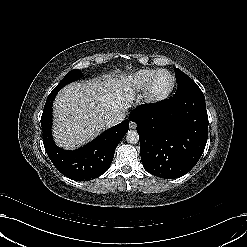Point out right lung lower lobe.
<instances>
[{
	"label": "right lung lower lobe",
	"instance_id": "right-lung-lower-lobe-1",
	"mask_svg": "<svg viewBox=\"0 0 247 247\" xmlns=\"http://www.w3.org/2000/svg\"><path fill=\"white\" fill-rule=\"evenodd\" d=\"M58 91L47 97L41 117L43 144L54 166L66 177L77 181H89L104 174L114 158L116 146L129 129V120L103 132L87 145L66 151L55 145L51 135L52 105Z\"/></svg>",
	"mask_w": 247,
	"mask_h": 247
}]
</instances>
